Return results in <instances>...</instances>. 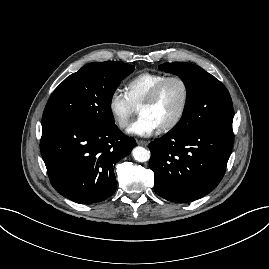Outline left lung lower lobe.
I'll return each instance as SVG.
<instances>
[{
    "label": "left lung lower lobe",
    "instance_id": "obj_1",
    "mask_svg": "<svg viewBox=\"0 0 269 269\" xmlns=\"http://www.w3.org/2000/svg\"><path fill=\"white\" fill-rule=\"evenodd\" d=\"M149 148L156 194L188 203L210 193L223 178L232 149V124H209L187 133L169 131Z\"/></svg>",
    "mask_w": 269,
    "mask_h": 269
}]
</instances>
